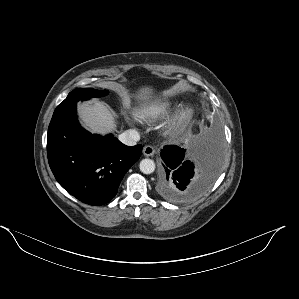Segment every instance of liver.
<instances>
[{
    "mask_svg": "<svg viewBox=\"0 0 299 299\" xmlns=\"http://www.w3.org/2000/svg\"><path fill=\"white\" fill-rule=\"evenodd\" d=\"M151 91V88L143 87L138 91V97L146 99ZM79 117L92 133L105 135L116 130L114 114L100 101L80 103Z\"/></svg>",
    "mask_w": 299,
    "mask_h": 299,
    "instance_id": "obj_1",
    "label": "liver"
}]
</instances>
